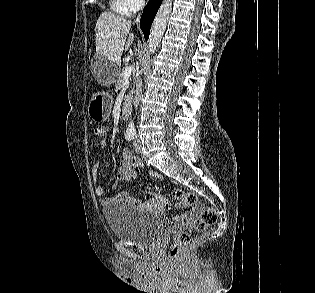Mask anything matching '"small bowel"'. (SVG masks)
<instances>
[{
  "label": "small bowel",
  "instance_id": "1",
  "mask_svg": "<svg viewBox=\"0 0 315 293\" xmlns=\"http://www.w3.org/2000/svg\"><path fill=\"white\" fill-rule=\"evenodd\" d=\"M108 146V141L106 138H103L100 141V147L106 149ZM123 159L120 163L119 169L116 174V179L112 185L114 190H117L116 195L112 197H102L100 203L102 206L106 207L113 202H126L135 206H140L148 211H150L159 221L171 229L175 230H185V223L194 218L192 212H183L180 215L175 216L172 219L167 218L164 215V210L168 205V201L161 195L150 192L149 197L146 200H139L133 197L128 191L118 190L119 187H122L127 182H131L136 179V168L142 165L141 160L137 157H132L130 152L127 149H124L122 152ZM99 164H95L92 168V180L94 191L96 195L102 196L104 193L103 187L99 179ZM151 177L160 178V175L157 172H151L149 174ZM183 205L178 203L176 208H182Z\"/></svg>",
  "mask_w": 315,
  "mask_h": 293
}]
</instances>
